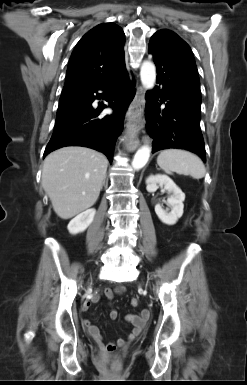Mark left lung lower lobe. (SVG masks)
Returning a JSON list of instances; mask_svg holds the SVG:
<instances>
[{"label": "left lung lower lobe", "mask_w": 247, "mask_h": 385, "mask_svg": "<svg viewBox=\"0 0 247 385\" xmlns=\"http://www.w3.org/2000/svg\"><path fill=\"white\" fill-rule=\"evenodd\" d=\"M148 52L153 55L159 84L146 94L145 117L154 140L153 153L167 148L185 149L205 162L199 80L169 53L158 37L151 38Z\"/></svg>", "instance_id": "obj_1"}]
</instances>
